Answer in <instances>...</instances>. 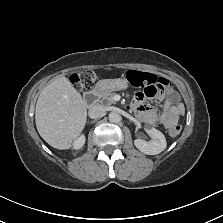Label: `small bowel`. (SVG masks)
<instances>
[{"instance_id":"small-bowel-1","label":"small bowel","mask_w":223,"mask_h":223,"mask_svg":"<svg viewBox=\"0 0 223 223\" xmlns=\"http://www.w3.org/2000/svg\"><path fill=\"white\" fill-rule=\"evenodd\" d=\"M163 80L166 82V88L163 92L153 94L149 89H145L143 92H138L133 98L131 108L135 111L138 118L143 122L151 125L160 124L165 129H171L183 116L184 107L183 105L177 103V94L171 88L170 83L166 79ZM165 92L166 97L164 100L162 113L158 115L157 110L154 107L145 103V99H161L164 97Z\"/></svg>"}]
</instances>
